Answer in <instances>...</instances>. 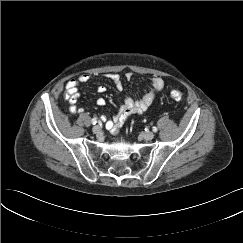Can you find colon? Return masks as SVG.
Listing matches in <instances>:
<instances>
[{
  "label": "colon",
  "instance_id": "obj_1",
  "mask_svg": "<svg viewBox=\"0 0 243 243\" xmlns=\"http://www.w3.org/2000/svg\"><path fill=\"white\" fill-rule=\"evenodd\" d=\"M170 95L175 100H181L182 99V92L179 91V90H172Z\"/></svg>",
  "mask_w": 243,
  "mask_h": 243
}]
</instances>
